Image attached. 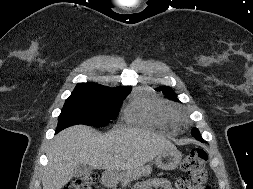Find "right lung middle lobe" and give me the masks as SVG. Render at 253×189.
<instances>
[{"label":"right lung middle lobe","mask_w":253,"mask_h":189,"mask_svg":"<svg viewBox=\"0 0 253 189\" xmlns=\"http://www.w3.org/2000/svg\"><path fill=\"white\" fill-rule=\"evenodd\" d=\"M125 91L72 92L58 117L56 131L75 124L104 127L117 118Z\"/></svg>","instance_id":"right-lung-middle-lobe-1"}]
</instances>
